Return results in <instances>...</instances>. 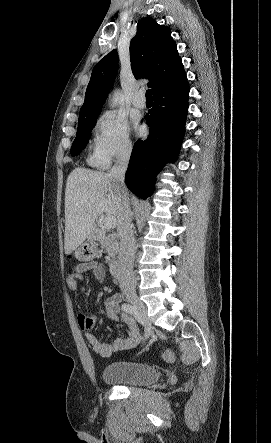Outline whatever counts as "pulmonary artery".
<instances>
[{"mask_svg":"<svg viewBox=\"0 0 271 443\" xmlns=\"http://www.w3.org/2000/svg\"><path fill=\"white\" fill-rule=\"evenodd\" d=\"M133 104L138 109H144L146 107V96L143 90L138 91L135 95Z\"/></svg>","mask_w":271,"mask_h":443,"instance_id":"e3ab8cb5","label":"pulmonary artery"}]
</instances>
